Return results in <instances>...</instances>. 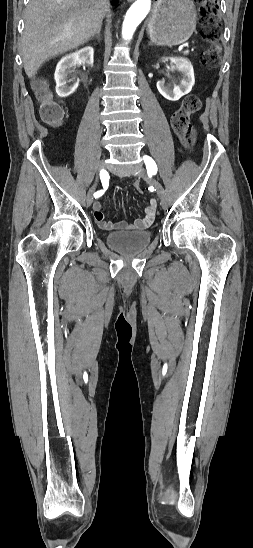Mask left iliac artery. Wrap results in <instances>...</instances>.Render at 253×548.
Wrapping results in <instances>:
<instances>
[{
    "label": "left iliac artery",
    "mask_w": 253,
    "mask_h": 548,
    "mask_svg": "<svg viewBox=\"0 0 253 548\" xmlns=\"http://www.w3.org/2000/svg\"><path fill=\"white\" fill-rule=\"evenodd\" d=\"M143 159H144V162H145V165H146V168H147V173L150 174V175L156 174L157 173V166H156L155 161L150 156H147V155H145L143 157Z\"/></svg>",
    "instance_id": "1"
}]
</instances>
